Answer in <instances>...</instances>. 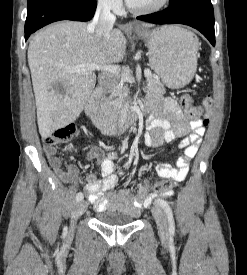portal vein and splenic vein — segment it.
I'll list each match as a JSON object with an SVG mask.
<instances>
[{
  "label": "portal vein and splenic vein",
  "mask_w": 247,
  "mask_h": 275,
  "mask_svg": "<svg viewBox=\"0 0 247 275\" xmlns=\"http://www.w3.org/2000/svg\"><path fill=\"white\" fill-rule=\"evenodd\" d=\"M94 70L108 72L111 74H116L119 71L118 67L116 66H112V65L100 66L97 64H86V65H79V66L69 68L70 72H87V71H94ZM151 75L152 73L149 69L144 70V76L146 78L151 77Z\"/></svg>",
  "instance_id": "obj_1"
}]
</instances>
